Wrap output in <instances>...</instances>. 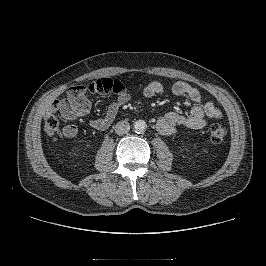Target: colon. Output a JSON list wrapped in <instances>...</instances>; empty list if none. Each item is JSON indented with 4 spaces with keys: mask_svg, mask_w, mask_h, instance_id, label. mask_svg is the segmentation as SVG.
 Returning a JSON list of instances; mask_svg holds the SVG:
<instances>
[{
    "mask_svg": "<svg viewBox=\"0 0 266 266\" xmlns=\"http://www.w3.org/2000/svg\"><path fill=\"white\" fill-rule=\"evenodd\" d=\"M124 90L123 84L113 78H101L91 82L83 83L72 87L69 91L73 97L84 93H121ZM44 126L50 133H55L59 129V118L56 110L50 108L44 118ZM227 134L226 128L220 123H213L209 128L210 141L214 145L221 144Z\"/></svg>",
    "mask_w": 266,
    "mask_h": 266,
    "instance_id": "5ec220e1",
    "label": "colon"
}]
</instances>
